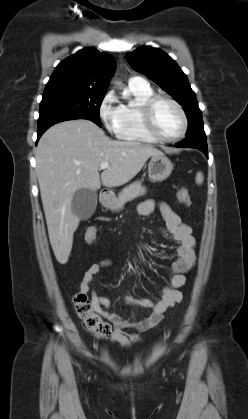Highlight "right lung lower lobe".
<instances>
[{"mask_svg": "<svg viewBox=\"0 0 248 419\" xmlns=\"http://www.w3.org/2000/svg\"><path fill=\"white\" fill-rule=\"evenodd\" d=\"M74 119H87L85 116L80 114H73V113H64V114H56L51 115L48 117H44L42 119H38V138L42 136V134L52 125L66 121V120H74ZM89 120V119H88Z\"/></svg>", "mask_w": 248, "mask_h": 419, "instance_id": "98d812e1", "label": "right lung lower lobe"}]
</instances>
